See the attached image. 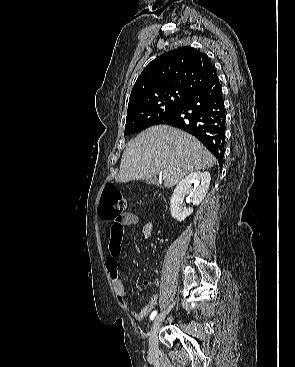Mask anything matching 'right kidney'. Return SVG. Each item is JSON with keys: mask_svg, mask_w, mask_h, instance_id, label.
<instances>
[{"mask_svg": "<svg viewBox=\"0 0 295 367\" xmlns=\"http://www.w3.org/2000/svg\"><path fill=\"white\" fill-rule=\"evenodd\" d=\"M210 173L209 172H192L182 179L174 189L173 195L170 200V212L171 216L179 222L184 221L188 216L193 213L192 208L183 207V199L187 191L191 192L193 205H199L210 185ZM192 183L195 188L192 189Z\"/></svg>", "mask_w": 295, "mask_h": 367, "instance_id": "obj_1", "label": "right kidney"}]
</instances>
